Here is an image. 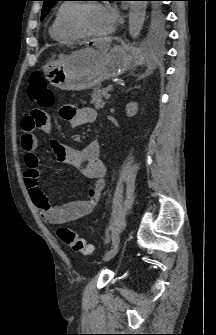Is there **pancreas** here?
I'll return each instance as SVG.
<instances>
[{
    "mask_svg": "<svg viewBox=\"0 0 216 335\" xmlns=\"http://www.w3.org/2000/svg\"><path fill=\"white\" fill-rule=\"evenodd\" d=\"M108 91V88H104L102 90H94L91 95V104H93L96 109H102L104 107L105 101L103 100V97L106 96Z\"/></svg>",
    "mask_w": 216,
    "mask_h": 335,
    "instance_id": "1",
    "label": "pancreas"
}]
</instances>
